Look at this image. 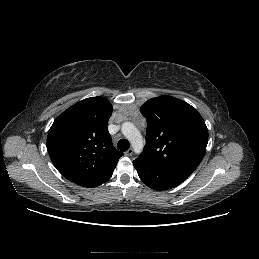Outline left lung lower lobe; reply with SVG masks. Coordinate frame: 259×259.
I'll return each instance as SVG.
<instances>
[{
    "mask_svg": "<svg viewBox=\"0 0 259 259\" xmlns=\"http://www.w3.org/2000/svg\"><path fill=\"white\" fill-rule=\"evenodd\" d=\"M140 179L154 190H167L184 182L188 177L170 172L139 159L133 161Z\"/></svg>",
    "mask_w": 259,
    "mask_h": 259,
    "instance_id": "1",
    "label": "left lung lower lobe"
}]
</instances>
